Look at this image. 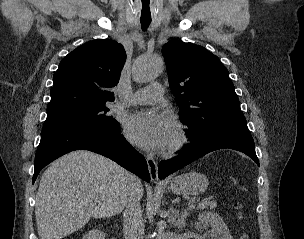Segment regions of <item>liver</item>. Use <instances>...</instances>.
I'll use <instances>...</instances> for the list:
<instances>
[{"label": "liver", "mask_w": 304, "mask_h": 239, "mask_svg": "<svg viewBox=\"0 0 304 239\" xmlns=\"http://www.w3.org/2000/svg\"><path fill=\"white\" fill-rule=\"evenodd\" d=\"M129 172L86 150L70 152L42 174L35 215L40 239H62L85 226L91 218L122 211V196ZM137 196H143L141 182Z\"/></svg>", "instance_id": "obj_1"}]
</instances>
